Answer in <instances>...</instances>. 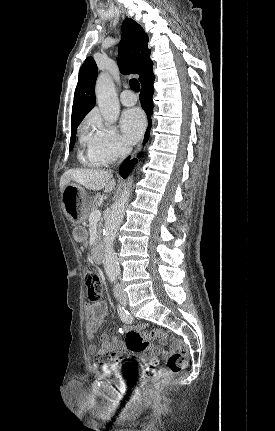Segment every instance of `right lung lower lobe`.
Segmentation results:
<instances>
[{"instance_id": "obj_1", "label": "right lung lower lobe", "mask_w": 275, "mask_h": 431, "mask_svg": "<svg viewBox=\"0 0 275 431\" xmlns=\"http://www.w3.org/2000/svg\"><path fill=\"white\" fill-rule=\"evenodd\" d=\"M153 82H154V77H152L149 81H147L144 85H142L141 94L139 96L141 101V106L146 112L148 117V130L145 134V141L149 136V130L152 122V120L150 119V116L152 115V111H153V104H152V95L154 92ZM136 162H137V159L129 161V157H128L127 160L121 165L120 174L123 178H126L129 175V173L132 171Z\"/></svg>"}]
</instances>
